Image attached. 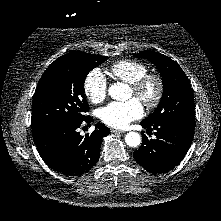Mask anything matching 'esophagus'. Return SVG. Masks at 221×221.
<instances>
[{"label": "esophagus", "instance_id": "34e87169", "mask_svg": "<svg viewBox=\"0 0 221 221\" xmlns=\"http://www.w3.org/2000/svg\"><path fill=\"white\" fill-rule=\"evenodd\" d=\"M111 132H113V133H125V131H123V130H118V129H114V128H112L111 129Z\"/></svg>", "mask_w": 221, "mask_h": 221}]
</instances>
